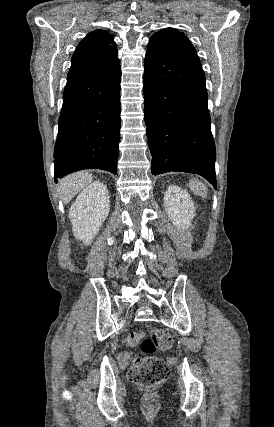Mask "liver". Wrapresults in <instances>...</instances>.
<instances>
[{
  "label": "liver",
  "instance_id": "liver-1",
  "mask_svg": "<svg viewBox=\"0 0 274 427\" xmlns=\"http://www.w3.org/2000/svg\"><path fill=\"white\" fill-rule=\"evenodd\" d=\"M92 180L93 176L92 174H88V172H77V174H70V176L63 178L59 186L64 204L71 202L72 198H74L78 192H81L85 186H88Z\"/></svg>",
  "mask_w": 274,
  "mask_h": 427
}]
</instances>
